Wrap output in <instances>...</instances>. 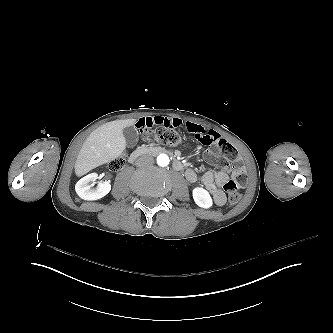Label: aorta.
Listing matches in <instances>:
<instances>
[{"instance_id": "1", "label": "aorta", "mask_w": 333, "mask_h": 333, "mask_svg": "<svg viewBox=\"0 0 333 333\" xmlns=\"http://www.w3.org/2000/svg\"><path fill=\"white\" fill-rule=\"evenodd\" d=\"M157 164L161 167H165L169 164V157L166 154H160L157 157Z\"/></svg>"}]
</instances>
